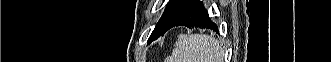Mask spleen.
Returning <instances> with one entry per match:
<instances>
[{
	"label": "spleen",
	"instance_id": "obj_1",
	"mask_svg": "<svg viewBox=\"0 0 331 62\" xmlns=\"http://www.w3.org/2000/svg\"><path fill=\"white\" fill-rule=\"evenodd\" d=\"M219 42L208 35H179L170 62H220Z\"/></svg>",
	"mask_w": 331,
	"mask_h": 62
}]
</instances>
